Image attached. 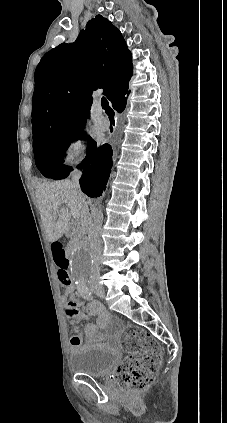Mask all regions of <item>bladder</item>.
Listing matches in <instances>:
<instances>
[{
	"label": "bladder",
	"mask_w": 227,
	"mask_h": 423,
	"mask_svg": "<svg viewBox=\"0 0 227 423\" xmlns=\"http://www.w3.org/2000/svg\"><path fill=\"white\" fill-rule=\"evenodd\" d=\"M118 359V354L114 351L101 347H89L71 357L70 369L78 374L99 379L112 375V370Z\"/></svg>",
	"instance_id": "obj_1"
}]
</instances>
